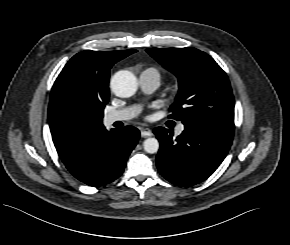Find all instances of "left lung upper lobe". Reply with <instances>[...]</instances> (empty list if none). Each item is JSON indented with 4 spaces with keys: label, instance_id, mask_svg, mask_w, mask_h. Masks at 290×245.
I'll list each match as a JSON object with an SVG mask.
<instances>
[{
    "label": "left lung upper lobe",
    "instance_id": "5c2ea615",
    "mask_svg": "<svg viewBox=\"0 0 290 245\" xmlns=\"http://www.w3.org/2000/svg\"><path fill=\"white\" fill-rule=\"evenodd\" d=\"M146 51L174 73L179 91L169 118L183 124L200 122L234 134V97L226 73L208 54L191 47L149 48Z\"/></svg>",
    "mask_w": 290,
    "mask_h": 245
}]
</instances>
